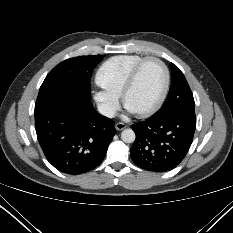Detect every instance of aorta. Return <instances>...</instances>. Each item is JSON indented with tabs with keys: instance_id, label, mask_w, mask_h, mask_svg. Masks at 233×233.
<instances>
[{
	"instance_id": "1",
	"label": "aorta",
	"mask_w": 233,
	"mask_h": 233,
	"mask_svg": "<svg viewBox=\"0 0 233 233\" xmlns=\"http://www.w3.org/2000/svg\"><path fill=\"white\" fill-rule=\"evenodd\" d=\"M121 139L125 143H133L135 141V133L132 129H125L121 133Z\"/></svg>"
}]
</instances>
